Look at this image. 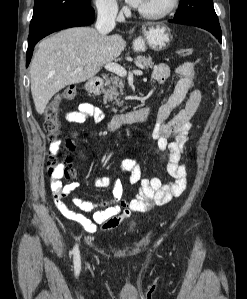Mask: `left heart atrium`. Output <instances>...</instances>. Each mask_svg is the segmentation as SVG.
Segmentation results:
<instances>
[{"label":"left heart atrium","mask_w":247,"mask_h":299,"mask_svg":"<svg viewBox=\"0 0 247 299\" xmlns=\"http://www.w3.org/2000/svg\"><path fill=\"white\" fill-rule=\"evenodd\" d=\"M143 1L144 0H126L127 3L138 8L142 5Z\"/></svg>","instance_id":"39dd6f15"}]
</instances>
